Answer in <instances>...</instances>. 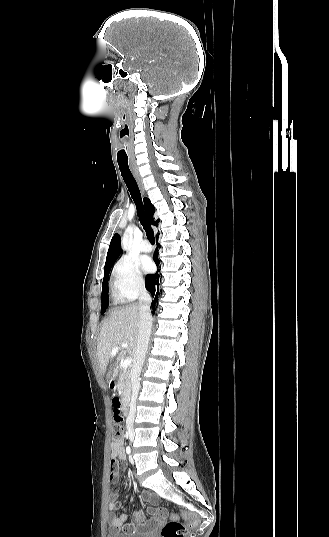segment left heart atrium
<instances>
[{"instance_id":"39dd6f15","label":"left heart atrium","mask_w":329,"mask_h":537,"mask_svg":"<svg viewBox=\"0 0 329 537\" xmlns=\"http://www.w3.org/2000/svg\"><path fill=\"white\" fill-rule=\"evenodd\" d=\"M139 263L144 272H150L153 269V263L147 256L141 257Z\"/></svg>"}]
</instances>
